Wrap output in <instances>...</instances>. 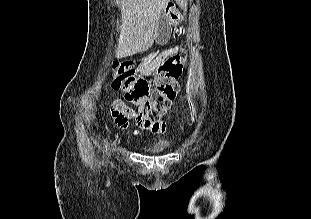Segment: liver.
Instances as JSON below:
<instances>
[{
    "mask_svg": "<svg viewBox=\"0 0 311 219\" xmlns=\"http://www.w3.org/2000/svg\"><path fill=\"white\" fill-rule=\"evenodd\" d=\"M186 10V0H176ZM169 0H117L123 23L116 55L124 57L145 51L157 37L159 20Z\"/></svg>",
    "mask_w": 311,
    "mask_h": 219,
    "instance_id": "1",
    "label": "liver"
}]
</instances>
